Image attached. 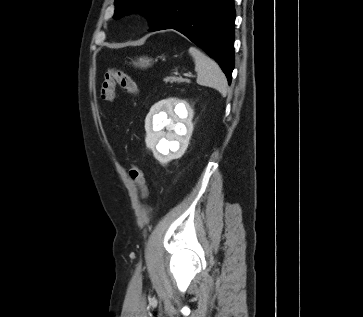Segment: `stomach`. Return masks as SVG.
I'll return each mask as SVG.
<instances>
[{
	"mask_svg": "<svg viewBox=\"0 0 363 317\" xmlns=\"http://www.w3.org/2000/svg\"><path fill=\"white\" fill-rule=\"evenodd\" d=\"M134 65L140 68H147L151 65V60L147 57H140L136 62H134Z\"/></svg>",
	"mask_w": 363,
	"mask_h": 317,
	"instance_id": "obj_1",
	"label": "stomach"
}]
</instances>
